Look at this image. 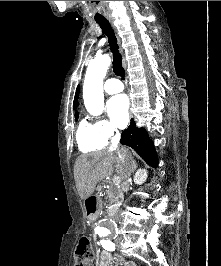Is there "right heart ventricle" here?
<instances>
[{
    "mask_svg": "<svg viewBox=\"0 0 221 266\" xmlns=\"http://www.w3.org/2000/svg\"><path fill=\"white\" fill-rule=\"evenodd\" d=\"M76 141L79 149L85 153L101 150L107 145V140L99 134L96 125L85 119L78 125Z\"/></svg>",
    "mask_w": 221,
    "mask_h": 266,
    "instance_id": "e07e8e85",
    "label": "right heart ventricle"
}]
</instances>
